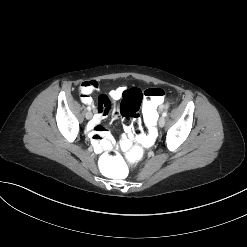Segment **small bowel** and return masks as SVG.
I'll return each instance as SVG.
<instances>
[{"label":"small bowel","instance_id":"1","mask_svg":"<svg viewBox=\"0 0 247 247\" xmlns=\"http://www.w3.org/2000/svg\"><path fill=\"white\" fill-rule=\"evenodd\" d=\"M98 88L97 81H86L81 86V101L84 104L92 105L95 108L94 119L88 129L89 136L92 141L93 148L96 152H102L107 150H112L115 141L113 137L107 132L102 126L99 125V122L105 118L110 109H111V100L117 101L125 92L124 87H118L110 91L109 96L101 95L99 97L98 103L94 105L93 98L91 93ZM118 111L114 112V116H118ZM126 132L129 134L127 128ZM119 146L123 150H127L131 146V138L129 135L125 134L120 138Z\"/></svg>","mask_w":247,"mask_h":247}]
</instances>
